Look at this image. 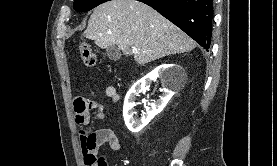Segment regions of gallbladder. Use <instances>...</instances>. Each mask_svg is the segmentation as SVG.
I'll return each instance as SVG.
<instances>
[{"instance_id": "bac80fb5", "label": "gallbladder", "mask_w": 277, "mask_h": 166, "mask_svg": "<svg viewBox=\"0 0 277 166\" xmlns=\"http://www.w3.org/2000/svg\"><path fill=\"white\" fill-rule=\"evenodd\" d=\"M107 56L109 57V59L116 61L120 58L121 53L119 51V49L116 46H110L107 48L106 50Z\"/></svg>"}]
</instances>
